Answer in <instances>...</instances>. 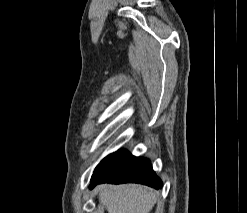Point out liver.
I'll return each instance as SVG.
<instances>
[{
    "label": "liver",
    "mask_w": 247,
    "mask_h": 213,
    "mask_svg": "<svg viewBox=\"0 0 247 213\" xmlns=\"http://www.w3.org/2000/svg\"><path fill=\"white\" fill-rule=\"evenodd\" d=\"M99 201L108 213H149L157 194L141 185H102Z\"/></svg>",
    "instance_id": "6515ba94"
}]
</instances>
